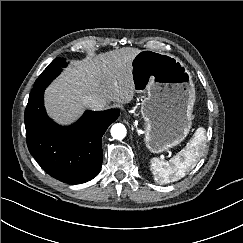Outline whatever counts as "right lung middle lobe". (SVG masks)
<instances>
[{
    "label": "right lung middle lobe",
    "mask_w": 243,
    "mask_h": 243,
    "mask_svg": "<svg viewBox=\"0 0 243 243\" xmlns=\"http://www.w3.org/2000/svg\"><path fill=\"white\" fill-rule=\"evenodd\" d=\"M66 59L64 58H56L52 61V63L47 68H58L66 66Z\"/></svg>",
    "instance_id": "obj_1"
}]
</instances>
